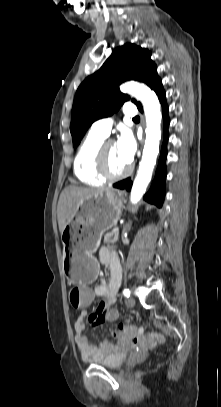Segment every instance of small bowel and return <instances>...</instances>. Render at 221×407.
I'll use <instances>...</instances> for the list:
<instances>
[{
    "mask_svg": "<svg viewBox=\"0 0 221 407\" xmlns=\"http://www.w3.org/2000/svg\"><path fill=\"white\" fill-rule=\"evenodd\" d=\"M99 260L103 265L109 267L110 276L108 281L101 280L97 285L94 286V299L100 298L101 303L92 307L93 313L89 316V322L92 325H101L102 323L106 322L104 320L105 307L107 305L114 304L121 281L122 270L120 261L113 251L108 248H101L99 251ZM86 316V311H82L74 323V341L81 357L84 360L90 361L103 358L116 351L117 348L111 342H105L99 345L89 341L87 337L84 336L83 332L85 330ZM113 334L118 339L125 338L120 330L117 332L113 331Z\"/></svg>",
    "mask_w": 221,
    "mask_h": 407,
    "instance_id": "small-bowel-1",
    "label": "small bowel"
}]
</instances>
